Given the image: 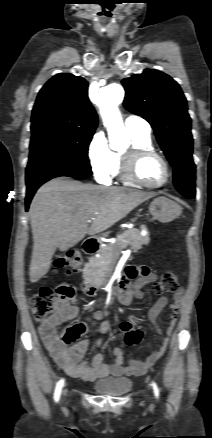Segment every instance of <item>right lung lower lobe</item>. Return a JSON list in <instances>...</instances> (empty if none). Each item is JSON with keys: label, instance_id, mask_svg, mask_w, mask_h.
<instances>
[{"label": "right lung lower lobe", "instance_id": "98d812e1", "mask_svg": "<svg viewBox=\"0 0 212 438\" xmlns=\"http://www.w3.org/2000/svg\"><path fill=\"white\" fill-rule=\"evenodd\" d=\"M91 174V169L75 167H34L26 169V211L36 190L48 180L59 176L86 177Z\"/></svg>", "mask_w": 212, "mask_h": 438}]
</instances>
